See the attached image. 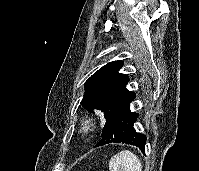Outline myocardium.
Returning a JSON list of instances; mask_svg holds the SVG:
<instances>
[{
    "label": "myocardium",
    "instance_id": "f54148a6",
    "mask_svg": "<svg viewBox=\"0 0 199 171\" xmlns=\"http://www.w3.org/2000/svg\"><path fill=\"white\" fill-rule=\"evenodd\" d=\"M93 132V124L89 120H85L80 123L78 127V133L80 137L87 138L89 137Z\"/></svg>",
    "mask_w": 199,
    "mask_h": 171
}]
</instances>
